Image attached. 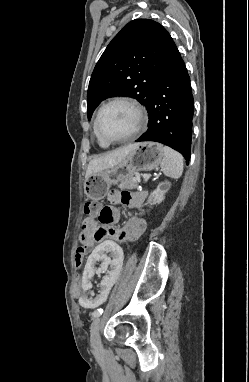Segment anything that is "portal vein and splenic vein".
Returning a JSON list of instances; mask_svg holds the SVG:
<instances>
[{
  "label": "portal vein and splenic vein",
  "mask_w": 249,
  "mask_h": 382,
  "mask_svg": "<svg viewBox=\"0 0 249 382\" xmlns=\"http://www.w3.org/2000/svg\"><path fill=\"white\" fill-rule=\"evenodd\" d=\"M134 180L140 181V178H134Z\"/></svg>",
  "instance_id": "portal-vein-and-splenic-vein-1"
}]
</instances>
